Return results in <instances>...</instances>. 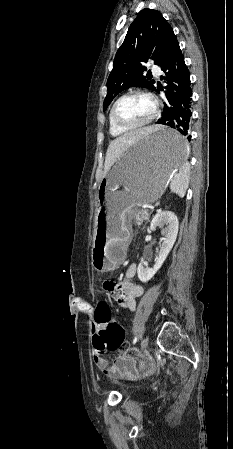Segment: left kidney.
Instances as JSON below:
<instances>
[{"mask_svg":"<svg viewBox=\"0 0 233 449\" xmlns=\"http://www.w3.org/2000/svg\"><path fill=\"white\" fill-rule=\"evenodd\" d=\"M179 222L177 216L171 211L158 212L151 221L150 228H162V244L158 257H156L153 268L144 267L142 264L138 265L137 274L141 282H148L156 272L161 268L166 260L170 250L172 249L178 234Z\"/></svg>","mask_w":233,"mask_h":449,"instance_id":"obj_1","label":"left kidney"}]
</instances>
